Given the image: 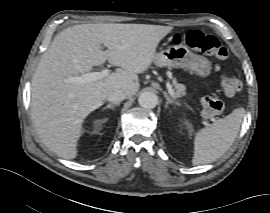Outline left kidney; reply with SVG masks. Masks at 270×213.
<instances>
[{
	"instance_id": "1",
	"label": "left kidney",
	"mask_w": 270,
	"mask_h": 213,
	"mask_svg": "<svg viewBox=\"0 0 270 213\" xmlns=\"http://www.w3.org/2000/svg\"><path fill=\"white\" fill-rule=\"evenodd\" d=\"M183 125H184V127L189 128V124L188 123L184 122Z\"/></svg>"
}]
</instances>
